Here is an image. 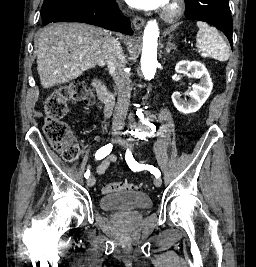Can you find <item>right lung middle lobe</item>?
Segmentation results:
<instances>
[{"label": "right lung middle lobe", "mask_w": 256, "mask_h": 267, "mask_svg": "<svg viewBox=\"0 0 256 267\" xmlns=\"http://www.w3.org/2000/svg\"><path fill=\"white\" fill-rule=\"evenodd\" d=\"M92 1H97V0H44V3L41 8V14L50 8L58 6L77 9Z\"/></svg>", "instance_id": "1"}]
</instances>
